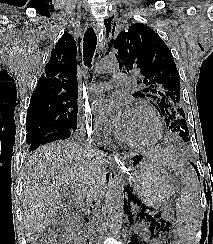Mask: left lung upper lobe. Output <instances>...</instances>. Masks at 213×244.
<instances>
[{
	"label": "left lung upper lobe",
	"mask_w": 213,
	"mask_h": 244,
	"mask_svg": "<svg viewBox=\"0 0 213 244\" xmlns=\"http://www.w3.org/2000/svg\"><path fill=\"white\" fill-rule=\"evenodd\" d=\"M113 42L120 71L131 72L137 78L138 90L133 96L151 98L168 129L189 141L185 111L180 101L179 73L163 40L147 25L137 23L122 30Z\"/></svg>",
	"instance_id": "obj_1"
}]
</instances>
